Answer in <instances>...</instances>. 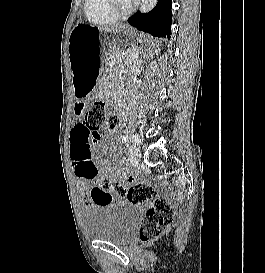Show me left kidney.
Masks as SVG:
<instances>
[{"label": "left kidney", "mask_w": 265, "mask_h": 273, "mask_svg": "<svg viewBox=\"0 0 265 273\" xmlns=\"http://www.w3.org/2000/svg\"><path fill=\"white\" fill-rule=\"evenodd\" d=\"M155 64H156V62H152V63L150 64V68L154 70L153 66H154Z\"/></svg>", "instance_id": "1"}]
</instances>
